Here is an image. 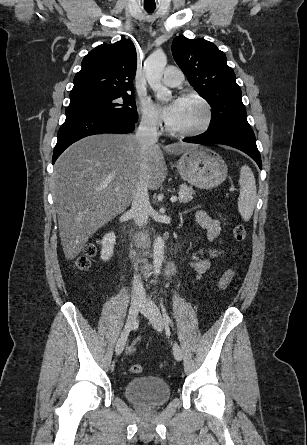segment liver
Returning <instances> with one entry per match:
<instances>
[{"instance_id": "liver-1", "label": "liver", "mask_w": 307, "mask_h": 445, "mask_svg": "<svg viewBox=\"0 0 307 445\" xmlns=\"http://www.w3.org/2000/svg\"><path fill=\"white\" fill-rule=\"evenodd\" d=\"M198 144L174 142L166 152L182 154ZM146 162L148 188L156 190L167 176L159 144L142 150L135 134H92L77 140L58 158L53 172L59 235L68 261L88 239L133 200L140 168ZM119 188V190H115Z\"/></svg>"}]
</instances>
